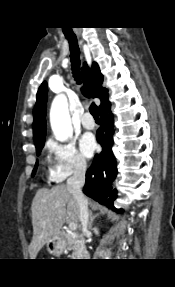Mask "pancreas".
<instances>
[{"mask_svg":"<svg viewBox=\"0 0 175 287\" xmlns=\"http://www.w3.org/2000/svg\"><path fill=\"white\" fill-rule=\"evenodd\" d=\"M75 240L76 239L74 236H70V241L73 243V246H72V250H73L72 257L73 258L80 255V248H81V243Z\"/></svg>","mask_w":175,"mask_h":287,"instance_id":"cf45deb5","label":"pancreas"}]
</instances>
